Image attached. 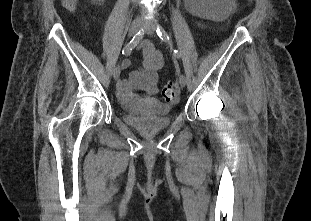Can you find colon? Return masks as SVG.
Masks as SVG:
<instances>
[{
    "label": "colon",
    "instance_id": "1",
    "mask_svg": "<svg viewBox=\"0 0 311 221\" xmlns=\"http://www.w3.org/2000/svg\"><path fill=\"white\" fill-rule=\"evenodd\" d=\"M78 2L79 0H61L63 7L68 11H70L71 13H74L75 10L77 9ZM143 92L144 91L142 88H137L132 96L134 99H139L140 96L143 94ZM177 95H178L177 87L173 82H168L163 86L162 97L166 101L169 102L173 101Z\"/></svg>",
    "mask_w": 311,
    "mask_h": 221
}]
</instances>
